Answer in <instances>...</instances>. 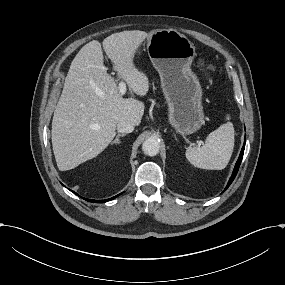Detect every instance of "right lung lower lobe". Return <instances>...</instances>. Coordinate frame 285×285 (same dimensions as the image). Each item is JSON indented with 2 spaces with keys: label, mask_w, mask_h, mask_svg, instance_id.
Listing matches in <instances>:
<instances>
[{
  "label": "right lung lower lobe",
  "mask_w": 285,
  "mask_h": 285,
  "mask_svg": "<svg viewBox=\"0 0 285 285\" xmlns=\"http://www.w3.org/2000/svg\"><path fill=\"white\" fill-rule=\"evenodd\" d=\"M75 194H76V193H75ZM76 195H77V194H76ZM115 197H117V196H115ZM115 197H112V198L106 199V200H90V199H85V198H83V199H85V200H87V201H89V202L103 203V202L112 200V199H114Z\"/></svg>",
  "instance_id": "98d812e1"
}]
</instances>
